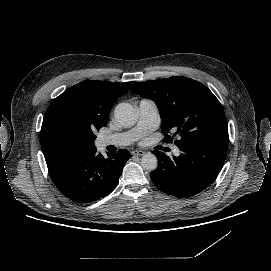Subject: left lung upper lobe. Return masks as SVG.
<instances>
[{
	"label": "left lung upper lobe",
	"mask_w": 271,
	"mask_h": 271,
	"mask_svg": "<svg viewBox=\"0 0 271 271\" xmlns=\"http://www.w3.org/2000/svg\"><path fill=\"white\" fill-rule=\"evenodd\" d=\"M131 90L152 99L162 116V130L180 136L177 146L201 144L204 140L228 143V126L222 106L203 84L186 77H170L136 83ZM166 135V133H165ZM169 136L165 137L168 140Z\"/></svg>",
	"instance_id": "obj_1"
}]
</instances>
